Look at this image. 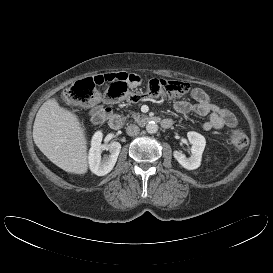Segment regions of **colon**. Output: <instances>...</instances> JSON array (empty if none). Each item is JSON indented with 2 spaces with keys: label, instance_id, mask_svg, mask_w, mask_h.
Wrapping results in <instances>:
<instances>
[{
  "label": "colon",
  "instance_id": "obj_1",
  "mask_svg": "<svg viewBox=\"0 0 273 273\" xmlns=\"http://www.w3.org/2000/svg\"><path fill=\"white\" fill-rule=\"evenodd\" d=\"M135 80H137V77L128 73H108L87 77L77 81L69 88L65 100L73 105L91 106L100 100L96 88L105 87L102 98L106 102H135L140 100L141 96L128 90V84ZM189 89L190 85L184 81L153 78L147 82L146 95L152 98L178 97L186 94ZM230 141L238 151L243 150L248 145L247 136L237 130L230 133Z\"/></svg>",
  "mask_w": 273,
  "mask_h": 273
}]
</instances>
